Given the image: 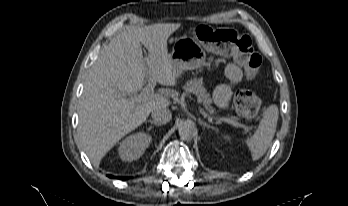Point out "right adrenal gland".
Listing matches in <instances>:
<instances>
[{"label":"right adrenal gland","mask_w":348,"mask_h":206,"mask_svg":"<svg viewBox=\"0 0 348 206\" xmlns=\"http://www.w3.org/2000/svg\"><path fill=\"white\" fill-rule=\"evenodd\" d=\"M147 122H150L151 124H154L155 126H161V124L157 123L154 120H148Z\"/></svg>","instance_id":"2a0ac1e0"}]
</instances>
